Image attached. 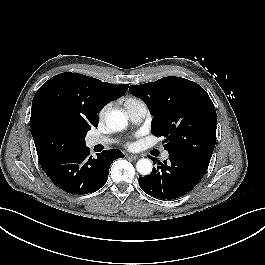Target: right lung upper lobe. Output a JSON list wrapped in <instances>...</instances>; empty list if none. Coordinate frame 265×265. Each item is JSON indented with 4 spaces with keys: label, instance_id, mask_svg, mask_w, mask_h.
Listing matches in <instances>:
<instances>
[{
    "label": "right lung upper lobe",
    "instance_id": "1",
    "mask_svg": "<svg viewBox=\"0 0 265 265\" xmlns=\"http://www.w3.org/2000/svg\"><path fill=\"white\" fill-rule=\"evenodd\" d=\"M128 87V84L112 85L77 73H61L36 92L30 121L37 113L51 110L72 124L96 127L97 113L107 103L122 96Z\"/></svg>",
    "mask_w": 265,
    "mask_h": 265
}]
</instances>
